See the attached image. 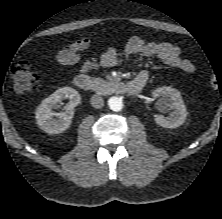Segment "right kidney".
<instances>
[{
  "mask_svg": "<svg viewBox=\"0 0 222 219\" xmlns=\"http://www.w3.org/2000/svg\"><path fill=\"white\" fill-rule=\"evenodd\" d=\"M69 99L65 112L55 113L53 109L59 107V103ZM81 102L80 94L71 87H63L42 101L36 109V121L38 126L48 134L62 133L71 125L74 116V107ZM58 116V118H54Z\"/></svg>",
  "mask_w": 222,
  "mask_h": 219,
  "instance_id": "ca27d5eb",
  "label": "right kidney"
}]
</instances>
